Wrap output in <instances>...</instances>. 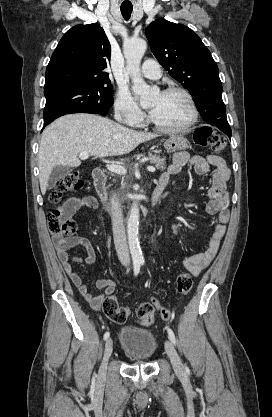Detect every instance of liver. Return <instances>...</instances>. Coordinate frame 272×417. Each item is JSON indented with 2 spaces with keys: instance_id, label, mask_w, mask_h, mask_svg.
Returning <instances> with one entry per match:
<instances>
[{
  "instance_id": "liver-1",
  "label": "liver",
  "mask_w": 272,
  "mask_h": 417,
  "mask_svg": "<svg viewBox=\"0 0 272 417\" xmlns=\"http://www.w3.org/2000/svg\"><path fill=\"white\" fill-rule=\"evenodd\" d=\"M153 133L135 131L93 114H70L56 119L43 131L38 153L39 182L45 194L54 167H77L78 154L96 157L130 153L143 142L156 138Z\"/></svg>"
}]
</instances>
